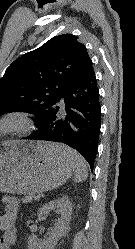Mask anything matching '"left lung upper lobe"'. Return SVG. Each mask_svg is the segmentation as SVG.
Instances as JSON below:
<instances>
[{
    "label": "left lung upper lobe",
    "mask_w": 135,
    "mask_h": 249,
    "mask_svg": "<svg viewBox=\"0 0 135 249\" xmlns=\"http://www.w3.org/2000/svg\"><path fill=\"white\" fill-rule=\"evenodd\" d=\"M77 36H55L41 47L16 59L0 79V116L14 111L35 115L37 127L69 85L92 67Z\"/></svg>",
    "instance_id": "obj_1"
}]
</instances>
